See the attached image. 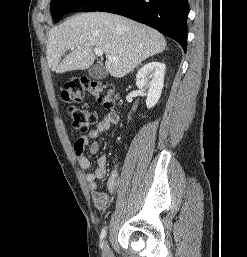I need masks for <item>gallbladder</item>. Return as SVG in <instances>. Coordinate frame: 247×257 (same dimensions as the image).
Here are the masks:
<instances>
[{
    "label": "gallbladder",
    "mask_w": 247,
    "mask_h": 257,
    "mask_svg": "<svg viewBox=\"0 0 247 257\" xmlns=\"http://www.w3.org/2000/svg\"><path fill=\"white\" fill-rule=\"evenodd\" d=\"M88 74L90 78L100 80L107 76V70L102 64H95L89 68Z\"/></svg>",
    "instance_id": "gallbladder-1"
}]
</instances>
